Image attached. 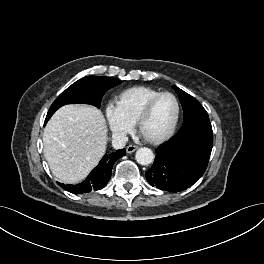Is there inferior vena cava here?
I'll list each match as a JSON object with an SVG mask.
<instances>
[{"mask_svg": "<svg viewBox=\"0 0 264 264\" xmlns=\"http://www.w3.org/2000/svg\"><path fill=\"white\" fill-rule=\"evenodd\" d=\"M128 137L124 133L115 132L112 135V146L115 149H122L125 147Z\"/></svg>", "mask_w": 264, "mask_h": 264, "instance_id": "1", "label": "inferior vena cava"}]
</instances>
